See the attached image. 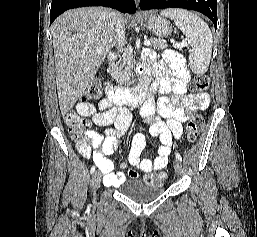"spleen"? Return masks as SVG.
<instances>
[{
    "label": "spleen",
    "mask_w": 257,
    "mask_h": 237,
    "mask_svg": "<svg viewBox=\"0 0 257 237\" xmlns=\"http://www.w3.org/2000/svg\"><path fill=\"white\" fill-rule=\"evenodd\" d=\"M163 17L174 20L175 25L188 38L192 53L189 65L195 74H204L209 67L213 38L208 25L197 15L184 9H166L161 11Z\"/></svg>",
    "instance_id": "1"
}]
</instances>
